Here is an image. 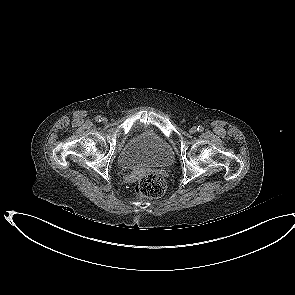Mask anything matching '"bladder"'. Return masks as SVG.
Returning a JSON list of instances; mask_svg holds the SVG:
<instances>
[{
    "label": "bladder",
    "mask_w": 295,
    "mask_h": 295,
    "mask_svg": "<svg viewBox=\"0 0 295 295\" xmlns=\"http://www.w3.org/2000/svg\"><path fill=\"white\" fill-rule=\"evenodd\" d=\"M174 162L171 145L153 130H143L128 140L119 152V163L125 169L168 167Z\"/></svg>",
    "instance_id": "obj_1"
}]
</instances>
